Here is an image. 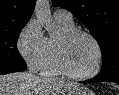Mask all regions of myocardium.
Instances as JSON below:
<instances>
[{"mask_svg":"<svg viewBox=\"0 0 119 95\" xmlns=\"http://www.w3.org/2000/svg\"><path fill=\"white\" fill-rule=\"evenodd\" d=\"M78 35H83L88 37L93 42L97 50V62L94 69L91 72L84 73V74H80L72 71L66 60V47L68 43ZM103 58H104L103 49L100 42L93 34H91L86 30L80 28H73L69 31L63 32L60 38L57 40V45H56L57 66L62 72V74L68 77L74 79H81V80L95 77L96 75H98V73L102 68Z\"/></svg>","mask_w":119,"mask_h":95,"instance_id":"obj_1","label":"myocardium"}]
</instances>
